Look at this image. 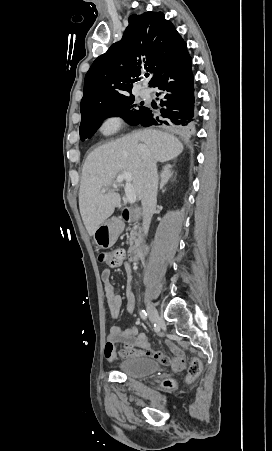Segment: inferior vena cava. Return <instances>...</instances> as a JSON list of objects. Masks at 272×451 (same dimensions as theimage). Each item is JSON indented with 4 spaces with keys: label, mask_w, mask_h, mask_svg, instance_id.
I'll return each instance as SVG.
<instances>
[{
    "label": "inferior vena cava",
    "mask_w": 272,
    "mask_h": 451,
    "mask_svg": "<svg viewBox=\"0 0 272 451\" xmlns=\"http://www.w3.org/2000/svg\"><path fill=\"white\" fill-rule=\"evenodd\" d=\"M142 160L145 166V180L141 204L143 208V231L147 235L157 204L158 174L156 162H154L149 150H142Z\"/></svg>",
    "instance_id": "obj_1"
}]
</instances>
